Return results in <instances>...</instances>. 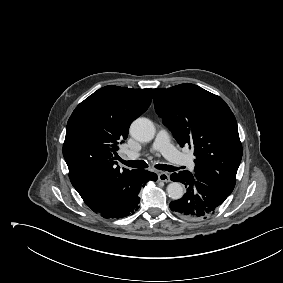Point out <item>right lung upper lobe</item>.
Instances as JSON below:
<instances>
[{"label":"right lung upper lobe","mask_w":283,"mask_h":283,"mask_svg":"<svg viewBox=\"0 0 283 283\" xmlns=\"http://www.w3.org/2000/svg\"><path fill=\"white\" fill-rule=\"evenodd\" d=\"M152 89L105 86L73 111L68 120L63 156L72 185L95 213L127 198L137 170L117 166L118 144L128 136L130 124L144 113Z\"/></svg>","instance_id":"right-lung-upper-lobe-1"}]
</instances>
